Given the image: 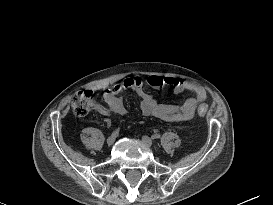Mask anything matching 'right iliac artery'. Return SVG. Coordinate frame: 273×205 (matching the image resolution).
<instances>
[{
	"label": "right iliac artery",
	"mask_w": 273,
	"mask_h": 205,
	"mask_svg": "<svg viewBox=\"0 0 273 205\" xmlns=\"http://www.w3.org/2000/svg\"><path fill=\"white\" fill-rule=\"evenodd\" d=\"M112 135L115 136V137H117L119 135V130L113 131Z\"/></svg>",
	"instance_id": "1"
}]
</instances>
